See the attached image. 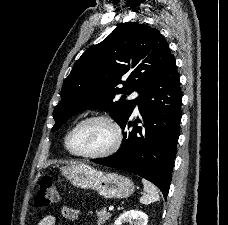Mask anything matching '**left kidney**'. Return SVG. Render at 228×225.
<instances>
[{"label": "left kidney", "mask_w": 228, "mask_h": 225, "mask_svg": "<svg viewBox=\"0 0 228 225\" xmlns=\"http://www.w3.org/2000/svg\"><path fill=\"white\" fill-rule=\"evenodd\" d=\"M122 223H130V225H147L148 217L142 211H126L116 219L114 225H122Z\"/></svg>", "instance_id": "left-kidney-1"}]
</instances>
